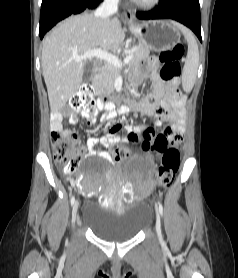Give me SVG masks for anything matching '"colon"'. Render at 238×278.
I'll return each mask as SVG.
<instances>
[{"label":"colon","mask_w":238,"mask_h":278,"mask_svg":"<svg viewBox=\"0 0 238 278\" xmlns=\"http://www.w3.org/2000/svg\"><path fill=\"white\" fill-rule=\"evenodd\" d=\"M184 54V47L176 45L170 50L159 54L161 63L160 76L169 84H176L180 75V61ZM72 108H82L87 111H94L96 102L94 90L90 85H85L70 99ZM151 138V137H147ZM51 146L56 164L66 173H74L80 163V141L78 136L70 131H52ZM143 150H155L161 155V162L156 171V177L162 186H169L178 171L180 165V153L170 144L142 143ZM163 149H166L165 151ZM129 155L128 150L123 146L113 148V156L120 161Z\"/></svg>","instance_id":"colon-1"}]
</instances>
